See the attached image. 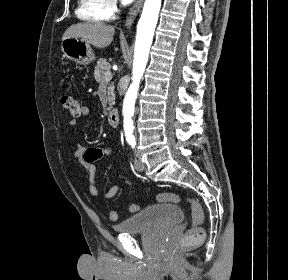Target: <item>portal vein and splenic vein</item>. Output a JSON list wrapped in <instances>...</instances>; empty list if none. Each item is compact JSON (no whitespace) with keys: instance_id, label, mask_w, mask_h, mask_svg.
<instances>
[{"instance_id":"1","label":"portal vein and splenic vein","mask_w":288,"mask_h":280,"mask_svg":"<svg viewBox=\"0 0 288 280\" xmlns=\"http://www.w3.org/2000/svg\"><path fill=\"white\" fill-rule=\"evenodd\" d=\"M111 78H112V73H111L110 71H107V72L105 73V79H106V81L110 80Z\"/></svg>"}]
</instances>
